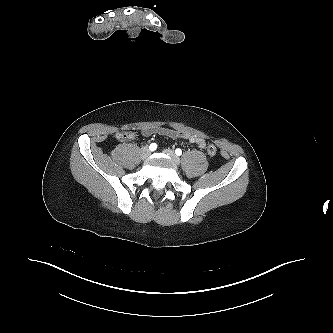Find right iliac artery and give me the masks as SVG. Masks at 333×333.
<instances>
[{
	"label": "right iliac artery",
	"instance_id": "1",
	"mask_svg": "<svg viewBox=\"0 0 333 333\" xmlns=\"http://www.w3.org/2000/svg\"><path fill=\"white\" fill-rule=\"evenodd\" d=\"M149 148H150V150H156V148H157V144L156 143H152V144H150V146H149Z\"/></svg>",
	"mask_w": 333,
	"mask_h": 333
}]
</instances>
